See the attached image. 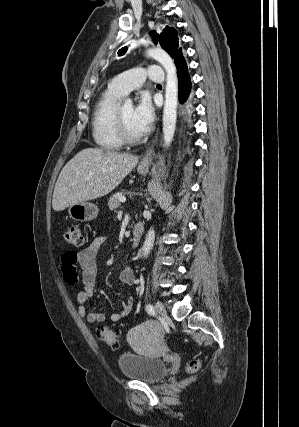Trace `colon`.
I'll use <instances>...</instances> for the list:
<instances>
[{"mask_svg":"<svg viewBox=\"0 0 299 427\" xmlns=\"http://www.w3.org/2000/svg\"><path fill=\"white\" fill-rule=\"evenodd\" d=\"M65 241L73 246H81L83 243V238L81 234V229L78 225L69 226L64 233ZM98 337L105 343L118 346L120 343L119 335L111 329L101 327L98 329ZM200 367V361L194 359L188 364L187 370L189 372H195Z\"/></svg>","mask_w":299,"mask_h":427,"instance_id":"colon-1","label":"colon"}]
</instances>
